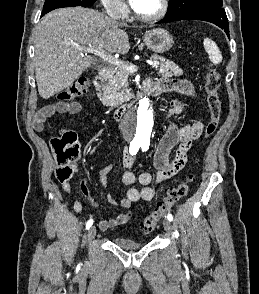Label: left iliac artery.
Instances as JSON below:
<instances>
[{"label":"left iliac artery","mask_w":259,"mask_h":294,"mask_svg":"<svg viewBox=\"0 0 259 294\" xmlns=\"http://www.w3.org/2000/svg\"><path fill=\"white\" fill-rule=\"evenodd\" d=\"M141 148H142L143 151H147L148 148H149V142H142V143H141ZM167 219H168L169 221H173V216H172V214L169 213V214L167 215Z\"/></svg>","instance_id":"44dca946"}]
</instances>
